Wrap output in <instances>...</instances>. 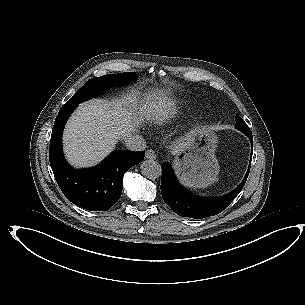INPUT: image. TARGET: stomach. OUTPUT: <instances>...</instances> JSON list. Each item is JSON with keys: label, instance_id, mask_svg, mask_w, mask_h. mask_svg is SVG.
I'll return each mask as SVG.
<instances>
[{"label": "stomach", "instance_id": "1", "mask_svg": "<svg viewBox=\"0 0 305 305\" xmlns=\"http://www.w3.org/2000/svg\"><path fill=\"white\" fill-rule=\"evenodd\" d=\"M218 137L207 128L192 134L188 145L176 154L173 169L180 183L192 189H204L214 183L219 173L215 156Z\"/></svg>", "mask_w": 305, "mask_h": 305}]
</instances>
